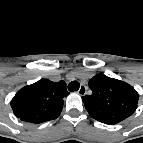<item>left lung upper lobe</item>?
I'll return each instance as SVG.
<instances>
[{
	"mask_svg": "<svg viewBox=\"0 0 143 143\" xmlns=\"http://www.w3.org/2000/svg\"><path fill=\"white\" fill-rule=\"evenodd\" d=\"M90 96H84L89 114L104 123H114L130 116L136 109L137 92L128 84L103 74L89 81Z\"/></svg>",
	"mask_w": 143,
	"mask_h": 143,
	"instance_id": "left-lung-upper-lobe-1",
	"label": "left lung upper lobe"
}]
</instances>
